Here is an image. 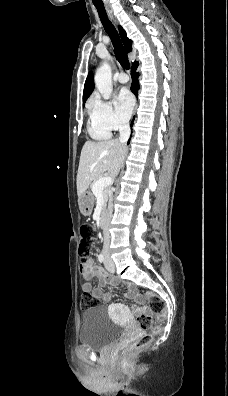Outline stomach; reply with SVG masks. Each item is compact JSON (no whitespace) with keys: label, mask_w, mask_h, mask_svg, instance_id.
<instances>
[{"label":"stomach","mask_w":228,"mask_h":396,"mask_svg":"<svg viewBox=\"0 0 228 396\" xmlns=\"http://www.w3.org/2000/svg\"><path fill=\"white\" fill-rule=\"evenodd\" d=\"M79 208L80 212L84 216H89L92 213V209L94 206V196L90 191H85L80 197H79Z\"/></svg>","instance_id":"stomach-1"}]
</instances>
